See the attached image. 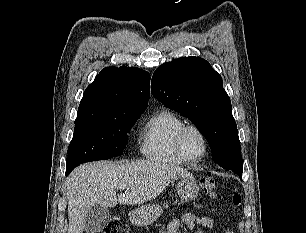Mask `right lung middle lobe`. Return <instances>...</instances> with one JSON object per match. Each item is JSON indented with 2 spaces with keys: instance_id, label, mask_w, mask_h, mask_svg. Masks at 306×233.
I'll return each mask as SVG.
<instances>
[{
  "instance_id": "1",
  "label": "right lung middle lobe",
  "mask_w": 306,
  "mask_h": 233,
  "mask_svg": "<svg viewBox=\"0 0 306 233\" xmlns=\"http://www.w3.org/2000/svg\"><path fill=\"white\" fill-rule=\"evenodd\" d=\"M142 112L109 109H78L73 138L68 147L66 168L83 162L109 159L123 153L127 133Z\"/></svg>"
}]
</instances>
